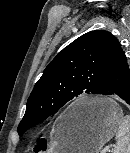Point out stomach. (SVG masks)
Masks as SVG:
<instances>
[{
  "mask_svg": "<svg viewBox=\"0 0 130 153\" xmlns=\"http://www.w3.org/2000/svg\"><path fill=\"white\" fill-rule=\"evenodd\" d=\"M81 109L85 112L76 114ZM122 118V110L108 97L79 99L58 119L51 132V147L54 153H99Z\"/></svg>",
  "mask_w": 130,
  "mask_h": 153,
  "instance_id": "obj_1",
  "label": "stomach"
}]
</instances>
